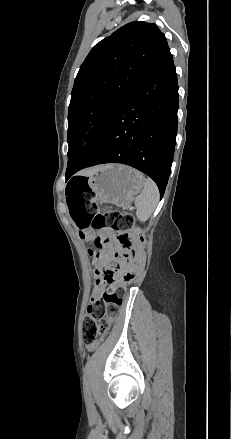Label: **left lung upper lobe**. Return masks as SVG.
Masks as SVG:
<instances>
[{
    "label": "left lung upper lobe",
    "mask_w": 231,
    "mask_h": 439,
    "mask_svg": "<svg viewBox=\"0 0 231 439\" xmlns=\"http://www.w3.org/2000/svg\"><path fill=\"white\" fill-rule=\"evenodd\" d=\"M169 53L159 28L140 21L122 26L93 47L71 93L67 138L70 159L82 148L84 139L90 141L103 129L130 90Z\"/></svg>",
    "instance_id": "1"
}]
</instances>
